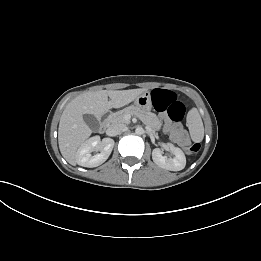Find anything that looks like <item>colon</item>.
Listing matches in <instances>:
<instances>
[{
	"mask_svg": "<svg viewBox=\"0 0 261 261\" xmlns=\"http://www.w3.org/2000/svg\"><path fill=\"white\" fill-rule=\"evenodd\" d=\"M152 102L157 111L166 112L175 122L181 121L186 112L185 105L177 100L176 94L170 90L154 89L151 93ZM183 148L189 155L199 150L198 143H184Z\"/></svg>",
	"mask_w": 261,
	"mask_h": 261,
	"instance_id": "colon-1",
	"label": "colon"
}]
</instances>
